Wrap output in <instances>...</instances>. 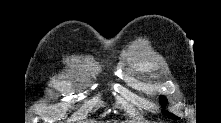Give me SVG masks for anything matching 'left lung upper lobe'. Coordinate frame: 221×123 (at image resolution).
Listing matches in <instances>:
<instances>
[{
	"label": "left lung upper lobe",
	"mask_w": 221,
	"mask_h": 123,
	"mask_svg": "<svg viewBox=\"0 0 221 123\" xmlns=\"http://www.w3.org/2000/svg\"><path fill=\"white\" fill-rule=\"evenodd\" d=\"M165 102H166V101L164 100V101L162 102V105L165 104ZM164 114L167 115V116H169L170 118L177 119V117H175V116H174L173 114H171V113L164 112Z\"/></svg>",
	"instance_id": "5c2ea615"
}]
</instances>
